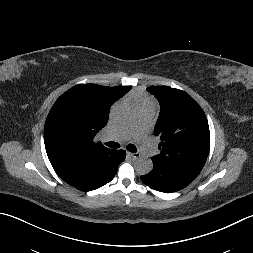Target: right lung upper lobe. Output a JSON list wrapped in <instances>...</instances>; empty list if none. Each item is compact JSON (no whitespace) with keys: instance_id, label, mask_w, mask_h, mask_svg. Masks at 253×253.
Wrapping results in <instances>:
<instances>
[{"instance_id":"cb5924a9","label":"right lung upper lobe","mask_w":253,"mask_h":253,"mask_svg":"<svg viewBox=\"0 0 253 253\" xmlns=\"http://www.w3.org/2000/svg\"><path fill=\"white\" fill-rule=\"evenodd\" d=\"M131 88L79 84L56 100L44 127L46 152L56 173L90 169L111 151L94 137L106 126L112 104Z\"/></svg>"}]
</instances>
